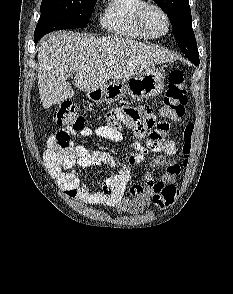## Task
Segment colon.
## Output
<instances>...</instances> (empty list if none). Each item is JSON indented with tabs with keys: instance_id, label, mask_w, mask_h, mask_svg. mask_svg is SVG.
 Here are the masks:
<instances>
[{
	"instance_id": "obj_1",
	"label": "colon",
	"mask_w": 233,
	"mask_h": 294,
	"mask_svg": "<svg viewBox=\"0 0 233 294\" xmlns=\"http://www.w3.org/2000/svg\"><path fill=\"white\" fill-rule=\"evenodd\" d=\"M168 81V87L159 108V114L163 118L179 120L185 113V107L188 101L187 87L183 70L181 68L172 70L169 74ZM54 121L57 125L62 127V129L55 134L57 141L55 148L56 151L70 147L71 132H78L86 127L84 117L70 102H63L58 106L54 114ZM193 130L194 125L192 123H188L182 131V151L185 157L184 165L187 164V158L191 151ZM177 195L178 190L175 186H167L155 194L153 197V203L158 208L164 209L174 202Z\"/></svg>"
}]
</instances>
